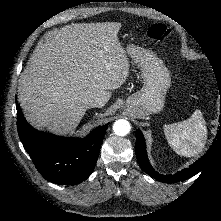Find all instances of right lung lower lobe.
<instances>
[{"label":"right lung lower lobe","instance_id":"1","mask_svg":"<svg viewBox=\"0 0 221 221\" xmlns=\"http://www.w3.org/2000/svg\"><path fill=\"white\" fill-rule=\"evenodd\" d=\"M17 104V103H16ZM18 134L39 173L56 184L73 185L92 173L107 125L94 129L86 138H64L30 126L17 104Z\"/></svg>","mask_w":221,"mask_h":221}]
</instances>
